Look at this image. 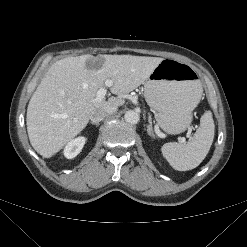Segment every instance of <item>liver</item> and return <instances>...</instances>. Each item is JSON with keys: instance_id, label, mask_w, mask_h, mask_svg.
Returning a JSON list of instances; mask_svg holds the SVG:
<instances>
[{"instance_id": "obj_1", "label": "liver", "mask_w": 247, "mask_h": 247, "mask_svg": "<svg viewBox=\"0 0 247 247\" xmlns=\"http://www.w3.org/2000/svg\"><path fill=\"white\" fill-rule=\"evenodd\" d=\"M162 60L87 54L56 61L28 104L26 125L32 147L44 158L55 155L81 133L93 111L125 103L124 99L114 96L108 100L97 99L98 89L107 80L112 81L113 94H127L143 84Z\"/></svg>"}]
</instances>
